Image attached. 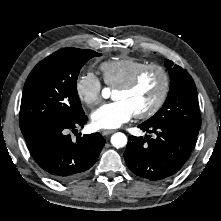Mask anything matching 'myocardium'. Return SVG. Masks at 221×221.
<instances>
[{
    "label": "myocardium",
    "instance_id": "obj_1",
    "mask_svg": "<svg viewBox=\"0 0 221 221\" xmlns=\"http://www.w3.org/2000/svg\"><path fill=\"white\" fill-rule=\"evenodd\" d=\"M150 70H156L161 75L162 87L155 102L147 110L135 114V117L138 119H147L152 117L164 105L171 88V78L166 68L157 63L146 64L140 69H138L127 81L115 88V90L120 91H127L132 89L138 84L141 78Z\"/></svg>",
    "mask_w": 221,
    "mask_h": 221
}]
</instances>
